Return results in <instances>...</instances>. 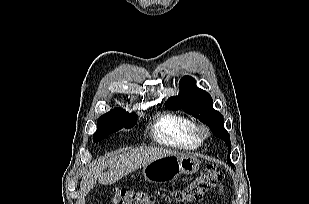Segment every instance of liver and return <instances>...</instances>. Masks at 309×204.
<instances>
[{
  "mask_svg": "<svg viewBox=\"0 0 309 204\" xmlns=\"http://www.w3.org/2000/svg\"><path fill=\"white\" fill-rule=\"evenodd\" d=\"M169 155H178V153L162 147L149 146L130 149L122 154L110 155V157H102L84 172L80 183L81 193L86 195L92 190L96 186L97 179L102 185H111L150 162ZM107 166L110 169L103 173V169Z\"/></svg>",
  "mask_w": 309,
  "mask_h": 204,
  "instance_id": "6515ba94",
  "label": "liver"
}]
</instances>
